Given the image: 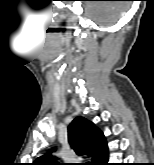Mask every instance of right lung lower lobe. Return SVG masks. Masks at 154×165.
Listing matches in <instances>:
<instances>
[{
	"label": "right lung lower lobe",
	"instance_id": "right-lung-lower-lobe-1",
	"mask_svg": "<svg viewBox=\"0 0 154 165\" xmlns=\"http://www.w3.org/2000/svg\"><path fill=\"white\" fill-rule=\"evenodd\" d=\"M91 165H111L108 163V146L105 141Z\"/></svg>",
	"mask_w": 154,
	"mask_h": 165
}]
</instances>
